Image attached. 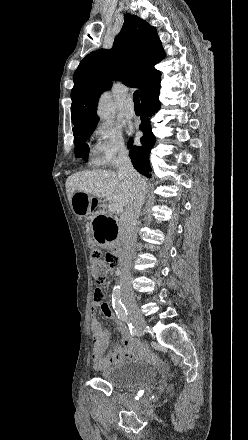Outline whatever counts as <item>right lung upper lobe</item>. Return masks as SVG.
<instances>
[{
  "instance_id": "obj_1",
  "label": "right lung upper lobe",
  "mask_w": 248,
  "mask_h": 440,
  "mask_svg": "<svg viewBox=\"0 0 248 440\" xmlns=\"http://www.w3.org/2000/svg\"><path fill=\"white\" fill-rule=\"evenodd\" d=\"M162 51L156 29L138 16L125 14L112 49L90 53L74 73L71 91L73 134L96 128L99 120L97 101L104 90L111 88L113 76L126 85L138 87L141 99L160 89L161 73L154 65L164 58L165 54H160Z\"/></svg>"
}]
</instances>
